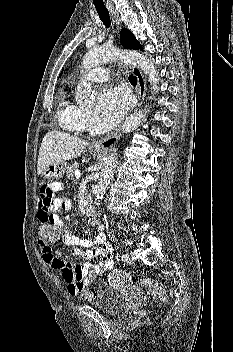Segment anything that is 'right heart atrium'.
I'll use <instances>...</instances> for the list:
<instances>
[{
    "label": "right heart atrium",
    "instance_id": "obj_1",
    "mask_svg": "<svg viewBox=\"0 0 233 352\" xmlns=\"http://www.w3.org/2000/svg\"><path fill=\"white\" fill-rule=\"evenodd\" d=\"M82 123H83L84 129L91 126L92 118L89 112L82 111Z\"/></svg>",
    "mask_w": 233,
    "mask_h": 352
}]
</instances>
